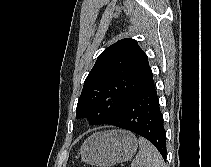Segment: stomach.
Segmentation results:
<instances>
[{"instance_id":"stomach-1","label":"stomach","mask_w":211,"mask_h":167,"mask_svg":"<svg viewBox=\"0 0 211 167\" xmlns=\"http://www.w3.org/2000/svg\"><path fill=\"white\" fill-rule=\"evenodd\" d=\"M138 141L134 134L111 130L91 135L81 146V161L97 167H112L130 160L136 153Z\"/></svg>"}]
</instances>
